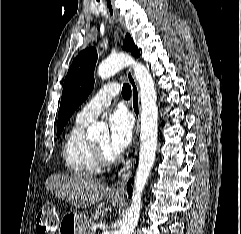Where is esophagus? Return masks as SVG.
<instances>
[{
  "instance_id": "1",
  "label": "esophagus",
  "mask_w": 241,
  "mask_h": 234,
  "mask_svg": "<svg viewBox=\"0 0 241 234\" xmlns=\"http://www.w3.org/2000/svg\"><path fill=\"white\" fill-rule=\"evenodd\" d=\"M106 8L108 10L109 15L111 18L117 23L116 11L113 4V0H105ZM127 79L131 86V99L130 105L132 112L136 118V128H135V136H134V143L131 150L130 158L125 162L121 171L119 172V176L115 184L111 189V193L115 196H123L125 193V185L128 179L132 175V170L135 164V157L137 153V145H138V135L140 131V94L137 82L133 75L132 69L128 68L127 70Z\"/></svg>"
}]
</instances>
